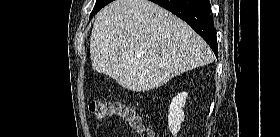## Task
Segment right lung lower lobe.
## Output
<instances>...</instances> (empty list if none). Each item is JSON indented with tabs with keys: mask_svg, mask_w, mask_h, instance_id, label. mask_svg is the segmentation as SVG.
I'll use <instances>...</instances> for the list:
<instances>
[{
	"mask_svg": "<svg viewBox=\"0 0 280 137\" xmlns=\"http://www.w3.org/2000/svg\"><path fill=\"white\" fill-rule=\"evenodd\" d=\"M188 23L217 55V38L209 0H151Z\"/></svg>",
	"mask_w": 280,
	"mask_h": 137,
	"instance_id": "obj_1",
	"label": "right lung lower lobe"
}]
</instances>
